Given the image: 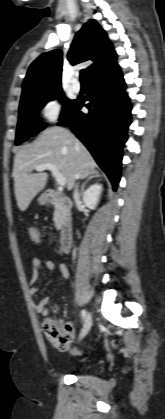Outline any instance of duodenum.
Returning a JSON list of instances; mask_svg holds the SVG:
<instances>
[{
    "label": "duodenum",
    "mask_w": 165,
    "mask_h": 419,
    "mask_svg": "<svg viewBox=\"0 0 165 419\" xmlns=\"http://www.w3.org/2000/svg\"><path fill=\"white\" fill-rule=\"evenodd\" d=\"M46 200L49 205L56 206L60 217V246L62 251L67 252L73 238V224L71 219L72 201L60 192L50 189L46 192Z\"/></svg>",
    "instance_id": "1"
}]
</instances>
